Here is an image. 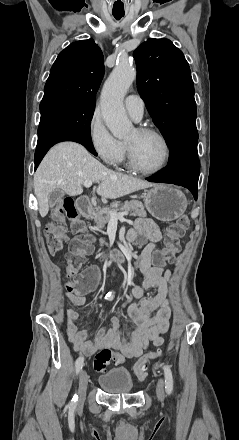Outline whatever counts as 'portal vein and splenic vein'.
I'll use <instances>...</instances> for the list:
<instances>
[{
  "mask_svg": "<svg viewBox=\"0 0 239 440\" xmlns=\"http://www.w3.org/2000/svg\"><path fill=\"white\" fill-rule=\"evenodd\" d=\"M85 188H91L92 182H84ZM106 210V208H104ZM110 218V222H117V220H123V216H127L128 212H108Z\"/></svg>",
  "mask_w": 239,
  "mask_h": 440,
  "instance_id": "obj_1",
  "label": "portal vein and splenic vein"
}]
</instances>
